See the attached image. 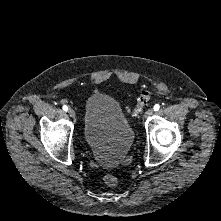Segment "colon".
<instances>
[{
  "label": "colon",
  "instance_id": "1",
  "mask_svg": "<svg viewBox=\"0 0 221 221\" xmlns=\"http://www.w3.org/2000/svg\"><path fill=\"white\" fill-rule=\"evenodd\" d=\"M151 98H152V92L147 89H142L137 98L136 104L130 110V113L135 117L139 116L142 113L146 104L151 100ZM103 181L105 184L109 186H115L118 183V178L115 175L106 174L103 176Z\"/></svg>",
  "mask_w": 221,
  "mask_h": 221
}]
</instances>
